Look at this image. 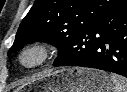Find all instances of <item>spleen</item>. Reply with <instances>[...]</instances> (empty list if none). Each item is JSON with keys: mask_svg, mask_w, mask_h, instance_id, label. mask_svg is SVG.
Returning a JSON list of instances; mask_svg holds the SVG:
<instances>
[{"mask_svg": "<svg viewBox=\"0 0 127 92\" xmlns=\"http://www.w3.org/2000/svg\"><path fill=\"white\" fill-rule=\"evenodd\" d=\"M114 92H127V79L119 75L112 74L110 76Z\"/></svg>", "mask_w": 127, "mask_h": 92, "instance_id": "1", "label": "spleen"}]
</instances>
